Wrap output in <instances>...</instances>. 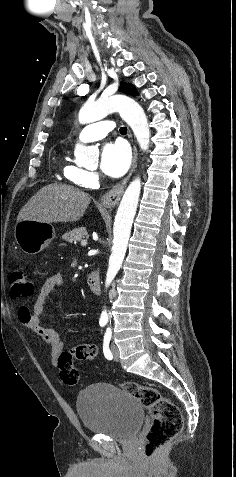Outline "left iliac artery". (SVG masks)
I'll use <instances>...</instances> for the list:
<instances>
[{
  "label": "left iliac artery",
  "mask_w": 236,
  "mask_h": 477,
  "mask_svg": "<svg viewBox=\"0 0 236 477\" xmlns=\"http://www.w3.org/2000/svg\"><path fill=\"white\" fill-rule=\"evenodd\" d=\"M112 332L110 328H107L105 335H104V340H103V353L106 359L111 360L113 358V355L109 349V343L111 340Z\"/></svg>",
  "instance_id": "obj_1"
}]
</instances>
